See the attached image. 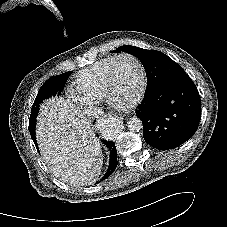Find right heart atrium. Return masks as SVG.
Instances as JSON below:
<instances>
[{"instance_id":"d8ad5b80","label":"right heart atrium","mask_w":227,"mask_h":227,"mask_svg":"<svg viewBox=\"0 0 227 227\" xmlns=\"http://www.w3.org/2000/svg\"><path fill=\"white\" fill-rule=\"evenodd\" d=\"M77 101L79 102V104H81L84 107H91V106H93L95 104V101L86 99L84 97H79L77 99Z\"/></svg>"}]
</instances>
